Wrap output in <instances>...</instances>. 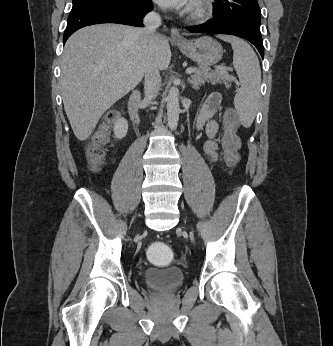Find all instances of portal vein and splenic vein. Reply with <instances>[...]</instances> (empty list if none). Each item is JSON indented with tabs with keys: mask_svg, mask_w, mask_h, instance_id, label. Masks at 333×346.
Here are the masks:
<instances>
[{
	"mask_svg": "<svg viewBox=\"0 0 333 346\" xmlns=\"http://www.w3.org/2000/svg\"><path fill=\"white\" fill-rule=\"evenodd\" d=\"M221 69L225 70L224 68H221ZM193 72H194V69H193V68H188V69L186 70V73H187V74H191V73H193Z\"/></svg>",
	"mask_w": 333,
	"mask_h": 346,
	"instance_id": "portal-vein-and-splenic-vein-1",
	"label": "portal vein and splenic vein"
}]
</instances>
